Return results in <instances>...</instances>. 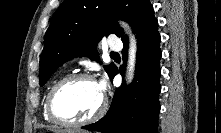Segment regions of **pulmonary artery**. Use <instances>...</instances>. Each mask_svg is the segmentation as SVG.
I'll return each mask as SVG.
<instances>
[{
  "label": "pulmonary artery",
  "instance_id": "1",
  "mask_svg": "<svg viewBox=\"0 0 221 133\" xmlns=\"http://www.w3.org/2000/svg\"><path fill=\"white\" fill-rule=\"evenodd\" d=\"M122 46V42L116 38H113L108 42V48L112 51H120Z\"/></svg>",
  "mask_w": 221,
  "mask_h": 133
}]
</instances>
